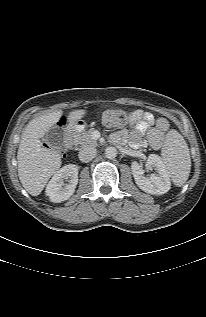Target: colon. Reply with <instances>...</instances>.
Instances as JSON below:
<instances>
[{
	"label": "colon",
	"mask_w": 206,
	"mask_h": 317,
	"mask_svg": "<svg viewBox=\"0 0 206 317\" xmlns=\"http://www.w3.org/2000/svg\"><path fill=\"white\" fill-rule=\"evenodd\" d=\"M102 123L109 128H122L131 120V114L122 109H108L101 113Z\"/></svg>",
	"instance_id": "colon-1"
}]
</instances>
